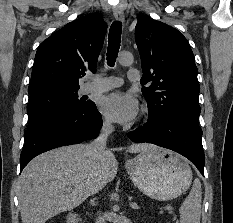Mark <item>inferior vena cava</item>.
I'll return each mask as SVG.
<instances>
[{"label": "inferior vena cava", "instance_id": "inferior-vena-cava-1", "mask_svg": "<svg viewBox=\"0 0 233 223\" xmlns=\"http://www.w3.org/2000/svg\"><path fill=\"white\" fill-rule=\"evenodd\" d=\"M112 123L113 121L105 119L98 137H96V139H93V141H91L89 145L90 153L93 159H96V169L97 167H101V165H104V159L107 155V151L105 149L107 137L108 135H110V133H112V131H114ZM102 187H104V185L100 183L99 179H95V181H93L92 189H94L95 193H99ZM94 223H105L103 213H99V211H97Z\"/></svg>", "mask_w": 233, "mask_h": 223}]
</instances>
